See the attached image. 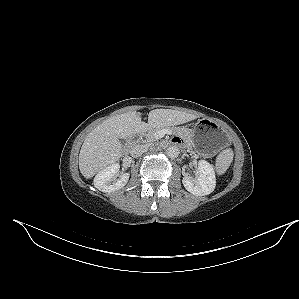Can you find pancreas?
<instances>
[{"label":"pancreas","instance_id":"cf45deb5","mask_svg":"<svg viewBox=\"0 0 299 299\" xmlns=\"http://www.w3.org/2000/svg\"><path fill=\"white\" fill-rule=\"evenodd\" d=\"M170 130H172L173 132L176 133H181L183 136H188L189 131L188 130H179L177 128H169ZM161 130L160 128H156V129H149L147 132L143 133V137H144V141L147 143H152L157 141V138L155 137V133L157 131Z\"/></svg>","mask_w":299,"mask_h":299}]
</instances>
